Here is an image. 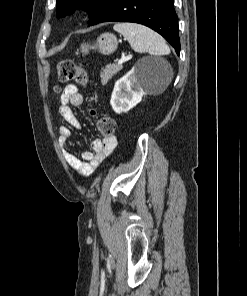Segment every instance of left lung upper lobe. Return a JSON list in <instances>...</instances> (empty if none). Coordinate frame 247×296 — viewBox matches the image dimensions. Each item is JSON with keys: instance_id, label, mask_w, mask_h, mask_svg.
I'll use <instances>...</instances> for the list:
<instances>
[{"instance_id": "left-lung-upper-lobe-1", "label": "left lung upper lobe", "mask_w": 247, "mask_h": 296, "mask_svg": "<svg viewBox=\"0 0 247 296\" xmlns=\"http://www.w3.org/2000/svg\"><path fill=\"white\" fill-rule=\"evenodd\" d=\"M108 0H56L57 17L72 14L76 9L88 11L89 18H92L100 11Z\"/></svg>"}]
</instances>
